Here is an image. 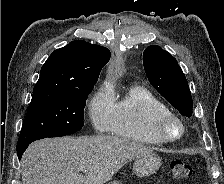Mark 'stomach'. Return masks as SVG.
<instances>
[{
  "label": "stomach",
  "mask_w": 224,
  "mask_h": 184,
  "mask_svg": "<svg viewBox=\"0 0 224 184\" xmlns=\"http://www.w3.org/2000/svg\"><path fill=\"white\" fill-rule=\"evenodd\" d=\"M161 166V158L156 154H148L135 159L133 171L138 177H147L154 174ZM108 184H122L121 181L115 179Z\"/></svg>",
  "instance_id": "obj_1"
}]
</instances>
